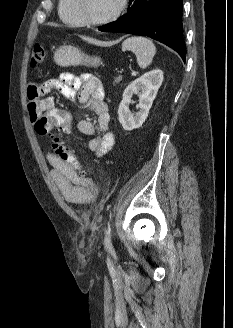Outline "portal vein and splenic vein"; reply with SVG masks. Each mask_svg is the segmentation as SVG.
<instances>
[{
	"label": "portal vein and splenic vein",
	"mask_w": 233,
	"mask_h": 328,
	"mask_svg": "<svg viewBox=\"0 0 233 328\" xmlns=\"http://www.w3.org/2000/svg\"><path fill=\"white\" fill-rule=\"evenodd\" d=\"M132 75H135V72L134 71H132Z\"/></svg>",
	"instance_id": "18ae733b"
}]
</instances>
